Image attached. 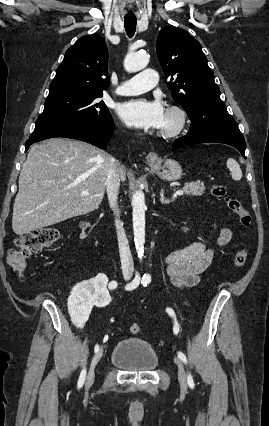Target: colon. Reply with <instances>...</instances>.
I'll return each mask as SVG.
<instances>
[{"label": "colon", "mask_w": 269, "mask_h": 426, "mask_svg": "<svg viewBox=\"0 0 269 426\" xmlns=\"http://www.w3.org/2000/svg\"><path fill=\"white\" fill-rule=\"evenodd\" d=\"M211 194L218 200H221L229 211L236 214L240 224L243 227H249L252 223L250 212L243 207L240 200L229 197L226 188L221 184H215L211 187ZM59 239V231L53 227H43L28 233L20 235L15 240V247L8 250L6 260L8 265L19 276L23 277L27 271V259L42 250L49 248ZM247 250L239 249L234 256V265L242 267L247 260ZM142 328L138 323L130 325L132 334H139Z\"/></svg>", "instance_id": "5ec220e1"}]
</instances>
